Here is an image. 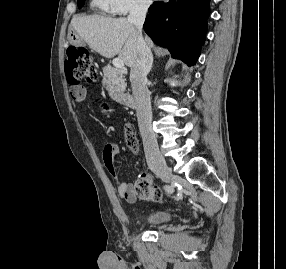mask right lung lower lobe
<instances>
[{"instance_id": "1", "label": "right lung lower lobe", "mask_w": 286, "mask_h": 269, "mask_svg": "<svg viewBox=\"0 0 286 269\" xmlns=\"http://www.w3.org/2000/svg\"><path fill=\"white\" fill-rule=\"evenodd\" d=\"M210 0L154 2L144 23L145 32L173 56L194 65L205 41Z\"/></svg>"}]
</instances>
